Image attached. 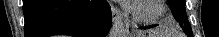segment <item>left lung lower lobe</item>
<instances>
[{
  "mask_svg": "<svg viewBox=\"0 0 219 37\" xmlns=\"http://www.w3.org/2000/svg\"><path fill=\"white\" fill-rule=\"evenodd\" d=\"M149 27H152V26H149ZM149 27H145V28H149ZM188 37H193V34L192 35H187Z\"/></svg>",
  "mask_w": 219,
  "mask_h": 37,
  "instance_id": "left-lung-lower-lobe-1",
  "label": "left lung lower lobe"
}]
</instances>
